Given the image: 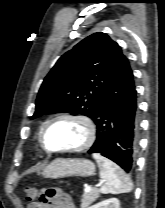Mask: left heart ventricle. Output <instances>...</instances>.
Listing matches in <instances>:
<instances>
[{"label": "left heart ventricle", "instance_id": "left-heart-ventricle-1", "mask_svg": "<svg viewBox=\"0 0 165 208\" xmlns=\"http://www.w3.org/2000/svg\"><path fill=\"white\" fill-rule=\"evenodd\" d=\"M85 138V128L79 122L65 119L50 126L45 143L50 149L70 148L81 144Z\"/></svg>", "mask_w": 165, "mask_h": 208}]
</instances>
